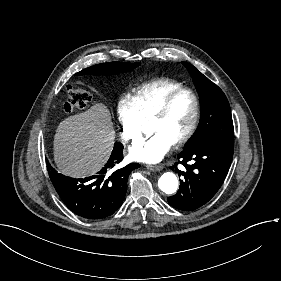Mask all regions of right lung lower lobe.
Returning <instances> with one entry per match:
<instances>
[{
  "label": "right lung lower lobe",
  "mask_w": 281,
  "mask_h": 281,
  "mask_svg": "<svg viewBox=\"0 0 281 281\" xmlns=\"http://www.w3.org/2000/svg\"><path fill=\"white\" fill-rule=\"evenodd\" d=\"M123 160V145L116 142L106 165L96 174L84 179L66 177L48 164L50 179L65 205L86 219H101L112 215L123 203L130 172L137 163L117 170Z\"/></svg>",
  "instance_id": "1"
}]
</instances>
